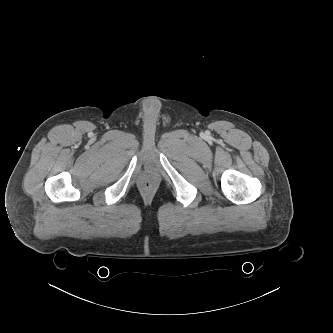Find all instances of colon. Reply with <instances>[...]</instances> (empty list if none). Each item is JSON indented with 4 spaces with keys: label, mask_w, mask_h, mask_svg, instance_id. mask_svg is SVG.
Listing matches in <instances>:
<instances>
[{
    "label": "colon",
    "mask_w": 333,
    "mask_h": 333,
    "mask_svg": "<svg viewBox=\"0 0 333 333\" xmlns=\"http://www.w3.org/2000/svg\"><path fill=\"white\" fill-rule=\"evenodd\" d=\"M150 185H151V184H150L149 181H147V182L145 183V186H146V187H150Z\"/></svg>",
    "instance_id": "5ec220e1"
}]
</instances>
